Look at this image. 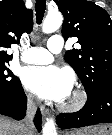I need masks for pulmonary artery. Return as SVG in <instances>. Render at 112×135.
Segmentation results:
<instances>
[{"label":"pulmonary artery","instance_id":"obj_1","mask_svg":"<svg viewBox=\"0 0 112 135\" xmlns=\"http://www.w3.org/2000/svg\"><path fill=\"white\" fill-rule=\"evenodd\" d=\"M63 42L60 36H52L47 42V48L30 47L23 50L21 59L28 64H48L53 61V54L61 52Z\"/></svg>","mask_w":112,"mask_h":135}]
</instances>
